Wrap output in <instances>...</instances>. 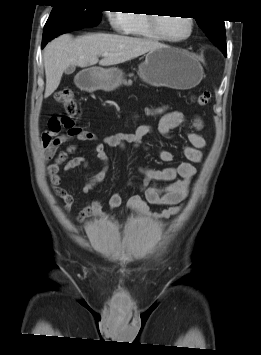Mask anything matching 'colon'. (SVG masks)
<instances>
[{"mask_svg": "<svg viewBox=\"0 0 261 355\" xmlns=\"http://www.w3.org/2000/svg\"><path fill=\"white\" fill-rule=\"evenodd\" d=\"M55 100L62 105L67 118H53L48 122V127L54 131H58L61 128V122L67 124H73V120L78 116L77 104L73 97V92L70 88L65 87L55 92ZM195 103L199 106H206L210 103L211 93L204 91L195 97Z\"/></svg>", "mask_w": 261, "mask_h": 355, "instance_id": "1", "label": "colon"}]
</instances>
